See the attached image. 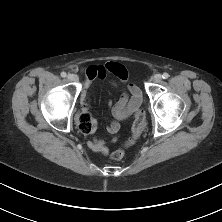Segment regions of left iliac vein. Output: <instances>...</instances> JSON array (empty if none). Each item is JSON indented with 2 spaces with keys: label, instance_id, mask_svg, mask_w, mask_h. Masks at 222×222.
<instances>
[{
  "label": "left iliac vein",
  "instance_id": "1",
  "mask_svg": "<svg viewBox=\"0 0 222 222\" xmlns=\"http://www.w3.org/2000/svg\"><path fill=\"white\" fill-rule=\"evenodd\" d=\"M161 80H162V76L160 74H156L152 78V81L155 83H159Z\"/></svg>",
  "mask_w": 222,
  "mask_h": 222
}]
</instances>
